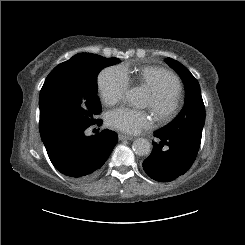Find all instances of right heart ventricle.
<instances>
[{"instance_id":"1","label":"right heart ventricle","mask_w":245,"mask_h":245,"mask_svg":"<svg viewBox=\"0 0 245 245\" xmlns=\"http://www.w3.org/2000/svg\"><path fill=\"white\" fill-rule=\"evenodd\" d=\"M124 70L128 79L130 80V72L127 69ZM168 73L171 72L158 66H146L138 70L135 78L137 82L146 87L148 90L156 88L165 82H171L177 92L180 93L181 84L178 78L173 74V79L170 80L168 77Z\"/></svg>"}]
</instances>
